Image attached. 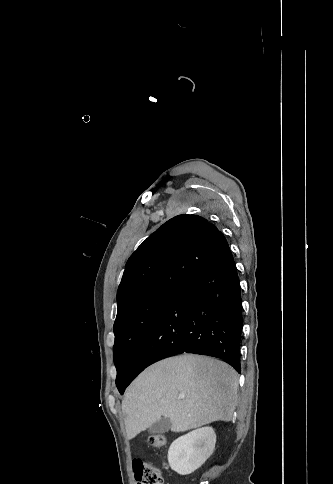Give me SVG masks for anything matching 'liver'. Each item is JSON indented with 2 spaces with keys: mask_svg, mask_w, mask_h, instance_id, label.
Wrapping results in <instances>:
<instances>
[{
  "mask_svg": "<svg viewBox=\"0 0 333 484\" xmlns=\"http://www.w3.org/2000/svg\"><path fill=\"white\" fill-rule=\"evenodd\" d=\"M237 389L236 371L220 360L185 354L157 362L125 392L122 411L127 438L133 439L161 417L170 419L173 432L229 422Z\"/></svg>",
  "mask_w": 333,
  "mask_h": 484,
  "instance_id": "obj_1",
  "label": "liver"
}]
</instances>
